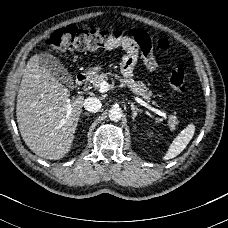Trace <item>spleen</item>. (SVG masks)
Segmentation results:
<instances>
[{
  "instance_id": "obj_1",
  "label": "spleen",
  "mask_w": 228,
  "mask_h": 228,
  "mask_svg": "<svg viewBox=\"0 0 228 228\" xmlns=\"http://www.w3.org/2000/svg\"><path fill=\"white\" fill-rule=\"evenodd\" d=\"M195 133L194 124H189L183 129L171 143L164 160L172 159L178 156L189 144Z\"/></svg>"
}]
</instances>
